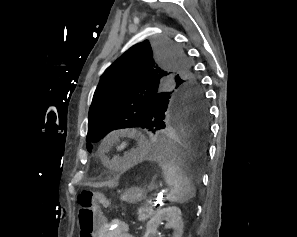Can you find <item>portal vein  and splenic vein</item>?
<instances>
[{
	"mask_svg": "<svg viewBox=\"0 0 297 237\" xmlns=\"http://www.w3.org/2000/svg\"><path fill=\"white\" fill-rule=\"evenodd\" d=\"M157 198H158V197H157ZM150 207H153V203H152V202L150 203Z\"/></svg>",
	"mask_w": 297,
	"mask_h": 237,
	"instance_id": "portal-vein-and-splenic-vein-1",
	"label": "portal vein and splenic vein"
}]
</instances>
